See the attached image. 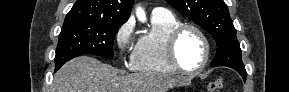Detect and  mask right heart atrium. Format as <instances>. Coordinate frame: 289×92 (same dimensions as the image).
I'll list each match as a JSON object with an SVG mask.
<instances>
[{"mask_svg": "<svg viewBox=\"0 0 289 92\" xmlns=\"http://www.w3.org/2000/svg\"><path fill=\"white\" fill-rule=\"evenodd\" d=\"M134 36V22L132 19H128L117 30L115 35V41L119 50L131 60L134 53L133 47Z\"/></svg>", "mask_w": 289, "mask_h": 92, "instance_id": "1", "label": "right heart atrium"}]
</instances>
